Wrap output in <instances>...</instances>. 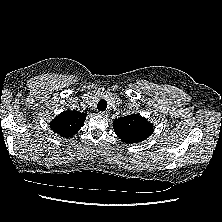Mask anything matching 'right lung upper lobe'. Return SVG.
<instances>
[{
  "label": "right lung upper lobe",
  "mask_w": 222,
  "mask_h": 222,
  "mask_svg": "<svg viewBox=\"0 0 222 222\" xmlns=\"http://www.w3.org/2000/svg\"><path fill=\"white\" fill-rule=\"evenodd\" d=\"M85 118V113L78 111H63L50 122V127L53 132L61 137L69 138L80 130Z\"/></svg>",
  "instance_id": "1"
}]
</instances>
